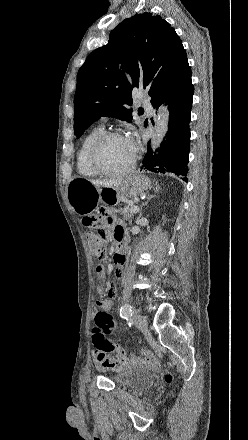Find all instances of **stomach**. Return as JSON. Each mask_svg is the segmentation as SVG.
<instances>
[{
    "label": "stomach",
    "mask_w": 248,
    "mask_h": 440,
    "mask_svg": "<svg viewBox=\"0 0 248 440\" xmlns=\"http://www.w3.org/2000/svg\"><path fill=\"white\" fill-rule=\"evenodd\" d=\"M149 180L142 175H131L119 185L97 187L84 178L69 181L67 195L73 210L79 214L92 211L99 203L117 205L125 198H135L150 188Z\"/></svg>",
    "instance_id": "stomach-1"
}]
</instances>
